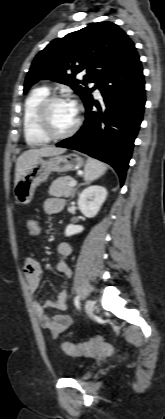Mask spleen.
<instances>
[{"instance_id": "3e777b00", "label": "spleen", "mask_w": 165, "mask_h": 419, "mask_svg": "<svg viewBox=\"0 0 165 419\" xmlns=\"http://www.w3.org/2000/svg\"><path fill=\"white\" fill-rule=\"evenodd\" d=\"M107 170L102 162L88 158L84 167V180L89 183L101 177Z\"/></svg>"}]
</instances>
